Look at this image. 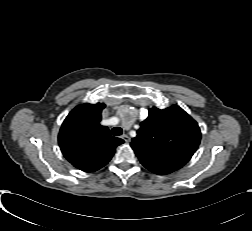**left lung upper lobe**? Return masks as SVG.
Instances as JSON below:
<instances>
[{"label": "left lung upper lobe", "instance_id": "left-lung-upper-lobe-1", "mask_svg": "<svg viewBox=\"0 0 252 231\" xmlns=\"http://www.w3.org/2000/svg\"><path fill=\"white\" fill-rule=\"evenodd\" d=\"M131 147L140 162L185 165L197 150L200 128L182 108L149 109Z\"/></svg>", "mask_w": 252, "mask_h": 231}]
</instances>
